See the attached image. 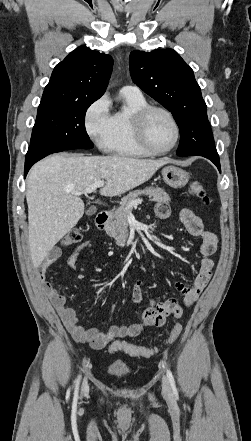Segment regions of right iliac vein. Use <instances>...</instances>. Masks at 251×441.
Masks as SVG:
<instances>
[{"label":"right iliac vein","mask_w":251,"mask_h":441,"mask_svg":"<svg viewBox=\"0 0 251 441\" xmlns=\"http://www.w3.org/2000/svg\"><path fill=\"white\" fill-rule=\"evenodd\" d=\"M88 383H87V381L85 380L84 382H83V385H82V392L83 393H85V392H87L88 391Z\"/></svg>","instance_id":"obj_1"}]
</instances>
